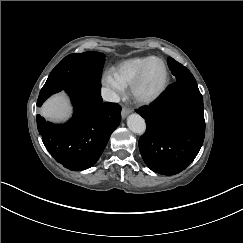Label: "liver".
I'll return each instance as SVG.
<instances>
[{"label":"liver","instance_id":"6515ba94","mask_svg":"<svg viewBox=\"0 0 243 243\" xmlns=\"http://www.w3.org/2000/svg\"><path fill=\"white\" fill-rule=\"evenodd\" d=\"M72 107L64 92L49 98L41 107L40 114L54 122H60L71 116Z\"/></svg>","mask_w":243,"mask_h":243}]
</instances>
